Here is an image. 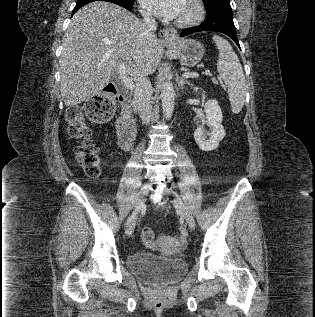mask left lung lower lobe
<instances>
[{
    "label": "left lung lower lobe",
    "instance_id": "obj_1",
    "mask_svg": "<svg viewBox=\"0 0 315 317\" xmlns=\"http://www.w3.org/2000/svg\"><path fill=\"white\" fill-rule=\"evenodd\" d=\"M201 31H217L228 35L233 41L239 45V41L236 34V28L233 23V19H223L217 22H211L205 19V21L196 27L187 28L182 31L180 34L181 37Z\"/></svg>",
    "mask_w": 315,
    "mask_h": 317
}]
</instances>
